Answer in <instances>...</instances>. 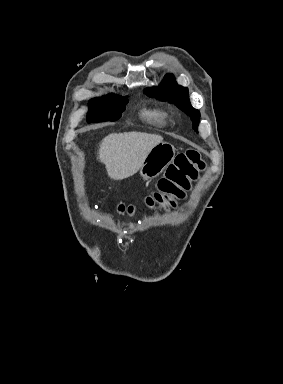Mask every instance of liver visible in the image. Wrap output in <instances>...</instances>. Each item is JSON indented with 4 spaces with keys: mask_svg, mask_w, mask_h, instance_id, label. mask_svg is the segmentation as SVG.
Segmentation results:
<instances>
[{
    "mask_svg": "<svg viewBox=\"0 0 283 384\" xmlns=\"http://www.w3.org/2000/svg\"><path fill=\"white\" fill-rule=\"evenodd\" d=\"M162 140V136L141 132L109 134L100 144L98 160L105 164L109 178L124 180L137 174L147 154Z\"/></svg>",
    "mask_w": 283,
    "mask_h": 384,
    "instance_id": "1",
    "label": "liver"
}]
</instances>
